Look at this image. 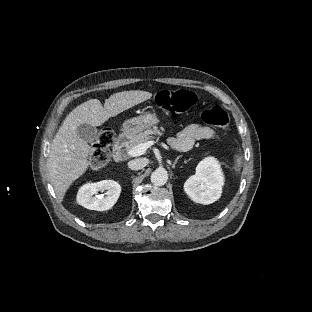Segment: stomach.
I'll list each match as a JSON object with an SVG mask.
<instances>
[{
    "mask_svg": "<svg viewBox=\"0 0 312 312\" xmlns=\"http://www.w3.org/2000/svg\"><path fill=\"white\" fill-rule=\"evenodd\" d=\"M160 123V118L155 113H144L126 120L122 126V134L134 138L138 133Z\"/></svg>",
    "mask_w": 312,
    "mask_h": 312,
    "instance_id": "0dacf381",
    "label": "stomach"
}]
</instances>
